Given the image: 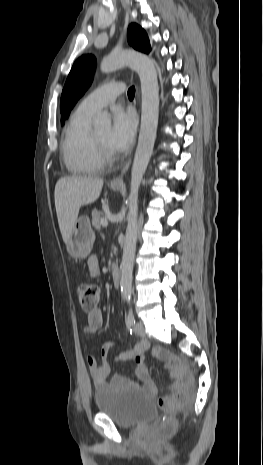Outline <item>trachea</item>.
I'll return each mask as SVG.
<instances>
[{"instance_id": "1", "label": "trachea", "mask_w": 263, "mask_h": 465, "mask_svg": "<svg viewBox=\"0 0 263 465\" xmlns=\"http://www.w3.org/2000/svg\"><path fill=\"white\" fill-rule=\"evenodd\" d=\"M135 96V87H131L128 90V97L133 98Z\"/></svg>"}]
</instances>
